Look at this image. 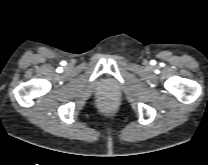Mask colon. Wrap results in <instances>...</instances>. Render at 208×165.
<instances>
[{"label":"colon","mask_w":208,"mask_h":165,"mask_svg":"<svg viewBox=\"0 0 208 165\" xmlns=\"http://www.w3.org/2000/svg\"><path fill=\"white\" fill-rule=\"evenodd\" d=\"M102 106H103L104 108H109V107H110V102H109V101H103V102H102Z\"/></svg>","instance_id":"5ec220e1"}]
</instances>
